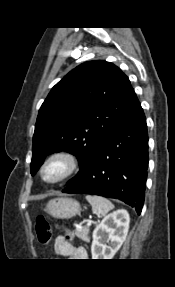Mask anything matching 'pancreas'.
<instances>
[{
    "label": "pancreas",
    "instance_id": "obj_1",
    "mask_svg": "<svg viewBox=\"0 0 175 287\" xmlns=\"http://www.w3.org/2000/svg\"><path fill=\"white\" fill-rule=\"evenodd\" d=\"M89 232H90L89 226H86L84 228H76L75 229V235L85 242L90 241Z\"/></svg>",
    "mask_w": 175,
    "mask_h": 287
}]
</instances>
